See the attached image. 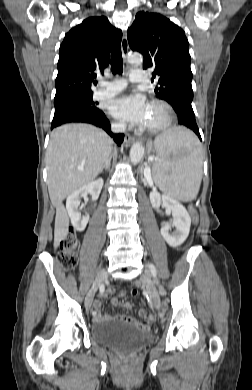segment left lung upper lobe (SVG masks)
<instances>
[{
    "mask_svg": "<svg viewBox=\"0 0 252 390\" xmlns=\"http://www.w3.org/2000/svg\"><path fill=\"white\" fill-rule=\"evenodd\" d=\"M127 36L130 48L143 55V68L154 69L152 81L157 82V97L172 107L180 102L191 104V57L184 31L158 13L141 11Z\"/></svg>",
    "mask_w": 252,
    "mask_h": 390,
    "instance_id": "1",
    "label": "left lung upper lobe"
}]
</instances>
